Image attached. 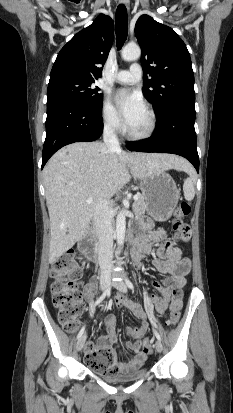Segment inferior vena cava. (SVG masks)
<instances>
[{
    "label": "inferior vena cava",
    "instance_id": "1",
    "mask_svg": "<svg viewBox=\"0 0 233 413\" xmlns=\"http://www.w3.org/2000/svg\"><path fill=\"white\" fill-rule=\"evenodd\" d=\"M103 140L109 150H120L114 121H108L104 125ZM94 224L98 238V260L101 273L108 274L113 267V228L108 199H102L98 203L94 212Z\"/></svg>",
    "mask_w": 233,
    "mask_h": 413
}]
</instances>
